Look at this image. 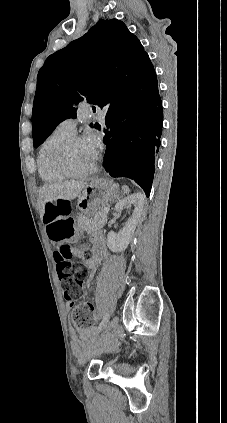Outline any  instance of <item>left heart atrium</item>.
Instances as JSON below:
<instances>
[{"instance_id":"left-heart-atrium-1","label":"left heart atrium","mask_w":227,"mask_h":423,"mask_svg":"<svg viewBox=\"0 0 227 423\" xmlns=\"http://www.w3.org/2000/svg\"><path fill=\"white\" fill-rule=\"evenodd\" d=\"M88 148L90 149L94 160H96L99 150L101 148V137L97 132H93L86 141Z\"/></svg>"}]
</instances>
